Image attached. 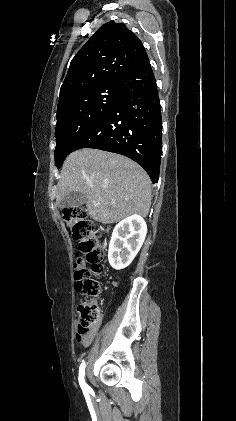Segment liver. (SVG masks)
<instances>
[{
	"label": "liver",
	"mask_w": 236,
	"mask_h": 421,
	"mask_svg": "<svg viewBox=\"0 0 236 421\" xmlns=\"http://www.w3.org/2000/svg\"><path fill=\"white\" fill-rule=\"evenodd\" d=\"M73 190L83 192L88 215L104 225L119 223L130 215L147 217L151 206L147 172L123 154L98 148H79L64 160L57 204Z\"/></svg>",
	"instance_id": "1"
}]
</instances>
